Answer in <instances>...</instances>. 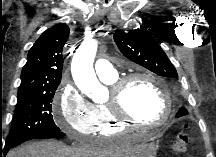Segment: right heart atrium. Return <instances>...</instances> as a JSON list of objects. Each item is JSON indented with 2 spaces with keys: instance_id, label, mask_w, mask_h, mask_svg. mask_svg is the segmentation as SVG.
I'll list each match as a JSON object with an SVG mask.
<instances>
[{
  "instance_id": "d8ad5b80",
  "label": "right heart atrium",
  "mask_w": 216,
  "mask_h": 157,
  "mask_svg": "<svg viewBox=\"0 0 216 157\" xmlns=\"http://www.w3.org/2000/svg\"><path fill=\"white\" fill-rule=\"evenodd\" d=\"M56 124L70 136H87L96 132L94 105L70 82L63 83L54 99Z\"/></svg>"
}]
</instances>
